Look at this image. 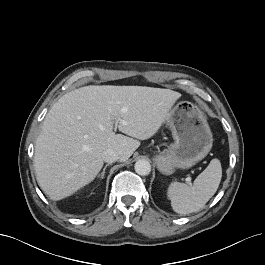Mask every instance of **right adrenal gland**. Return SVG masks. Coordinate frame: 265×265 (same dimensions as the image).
<instances>
[{
	"instance_id": "1",
	"label": "right adrenal gland",
	"mask_w": 265,
	"mask_h": 265,
	"mask_svg": "<svg viewBox=\"0 0 265 265\" xmlns=\"http://www.w3.org/2000/svg\"><path fill=\"white\" fill-rule=\"evenodd\" d=\"M109 165H110V164L108 163V164H106V165L104 166L103 171L98 175V178H100V179H103V178H104L105 170H106V168H107Z\"/></svg>"
}]
</instances>
